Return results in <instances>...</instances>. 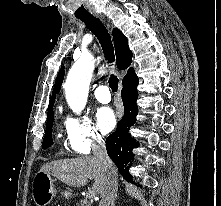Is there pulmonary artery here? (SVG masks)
I'll use <instances>...</instances> for the list:
<instances>
[{
  "instance_id": "obj_1",
  "label": "pulmonary artery",
  "mask_w": 221,
  "mask_h": 206,
  "mask_svg": "<svg viewBox=\"0 0 221 206\" xmlns=\"http://www.w3.org/2000/svg\"><path fill=\"white\" fill-rule=\"evenodd\" d=\"M95 98L101 103H108L111 100L110 88L107 85H100L94 91Z\"/></svg>"
}]
</instances>
